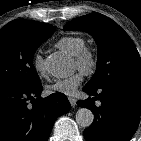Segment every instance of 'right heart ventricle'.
<instances>
[{
	"label": "right heart ventricle",
	"mask_w": 141,
	"mask_h": 141,
	"mask_svg": "<svg viewBox=\"0 0 141 141\" xmlns=\"http://www.w3.org/2000/svg\"><path fill=\"white\" fill-rule=\"evenodd\" d=\"M85 39L82 36H64L60 38L56 47L72 56H75L83 47Z\"/></svg>",
	"instance_id": "1"
}]
</instances>
